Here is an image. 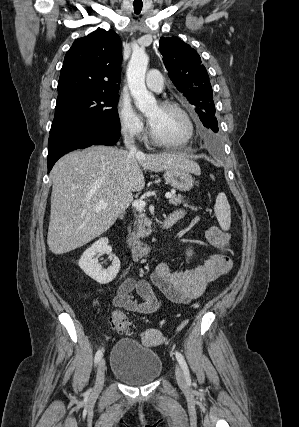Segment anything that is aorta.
<instances>
[{"instance_id": "aorta-1", "label": "aorta", "mask_w": 299, "mask_h": 427, "mask_svg": "<svg viewBox=\"0 0 299 427\" xmlns=\"http://www.w3.org/2000/svg\"><path fill=\"white\" fill-rule=\"evenodd\" d=\"M148 61L149 58L144 51H134L127 69L130 93L134 98L136 107L143 113H147L157 106L155 97L147 90L145 85Z\"/></svg>"}]
</instances>
